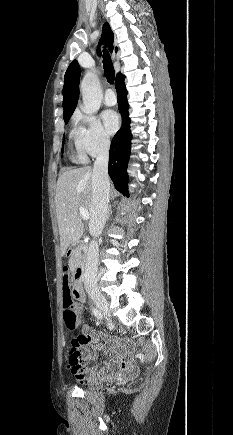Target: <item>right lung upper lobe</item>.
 <instances>
[{"instance_id": "cb5924a9", "label": "right lung upper lobe", "mask_w": 233, "mask_h": 435, "mask_svg": "<svg viewBox=\"0 0 233 435\" xmlns=\"http://www.w3.org/2000/svg\"><path fill=\"white\" fill-rule=\"evenodd\" d=\"M102 39L107 43L110 51H113V40L114 34L108 23L103 25V35ZM117 51V48L115 49ZM98 55H100V50L98 49ZM80 67L77 60H74L69 65L65 76H64V87H63V109L64 117L71 116L76 108L78 97H79V81H80ZM122 76L121 73L117 77Z\"/></svg>"}]
</instances>
